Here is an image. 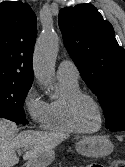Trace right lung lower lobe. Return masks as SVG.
<instances>
[{
	"label": "right lung lower lobe",
	"mask_w": 125,
	"mask_h": 167,
	"mask_svg": "<svg viewBox=\"0 0 125 167\" xmlns=\"http://www.w3.org/2000/svg\"><path fill=\"white\" fill-rule=\"evenodd\" d=\"M0 117L11 120L16 123H25V124L28 123L26 117L18 116L2 109H0Z\"/></svg>",
	"instance_id": "right-lung-lower-lobe-1"
}]
</instances>
